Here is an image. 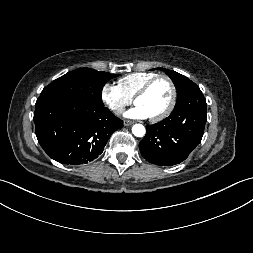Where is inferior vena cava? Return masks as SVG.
<instances>
[{"mask_svg":"<svg viewBox=\"0 0 253 253\" xmlns=\"http://www.w3.org/2000/svg\"><path fill=\"white\" fill-rule=\"evenodd\" d=\"M118 113L124 111V107H115L114 108Z\"/></svg>","mask_w":253,"mask_h":253,"instance_id":"inferior-vena-cava-1","label":"inferior vena cava"}]
</instances>
